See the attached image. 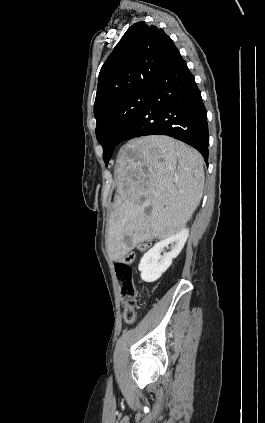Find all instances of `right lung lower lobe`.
Returning <instances> with one entry per match:
<instances>
[{
  "label": "right lung lower lobe",
  "instance_id": "98d812e1",
  "mask_svg": "<svg viewBox=\"0 0 265 423\" xmlns=\"http://www.w3.org/2000/svg\"><path fill=\"white\" fill-rule=\"evenodd\" d=\"M168 135L197 149L208 164L206 109L194 76L178 53L150 89L147 103L121 134L124 140Z\"/></svg>",
  "mask_w": 265,
  "mask_h": 423
}]
</instances>
